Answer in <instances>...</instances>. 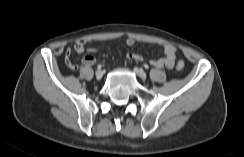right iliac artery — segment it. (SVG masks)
I'll list each match as a JSON object with an SVG mask.
<instances>
[{
	"mask_svg": "<svg viewBox=\"0 0 244 157\" xmlns=\"http://www.w3.org/2000/svg\"><path fill=\"white\" fill-rule=\"evenodd\" d=\"M101 68H102V65L99 64V65L97 66V69L100 70Z\"/></svg>",
	"mask_w": 244,
	"mask_h": 157,
	"instance_id": "right-iliac-artery-1",
	"label": "right iliac artery"
}]
</instances>
